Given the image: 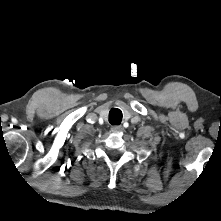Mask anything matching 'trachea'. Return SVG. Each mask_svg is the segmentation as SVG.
Returning a JSON list of instances; mask_svg holds the SVG:
<instances>
[{
	"label": "trachea",
	"mask_w": 221,
	"mask_h": 221,
	"mask_svg": "<svg viewBox=\"0 0 221 221\" xmlns=\"http://www.w3.org/2000/svg\"><path fill=\"white\" fill-rule=\"evenodd\" d=\"M122 121V111L117 108H112L109 112V122L112 125H119Z\"/></svg>",
	"instance_id": "1"
}]
</instances>
